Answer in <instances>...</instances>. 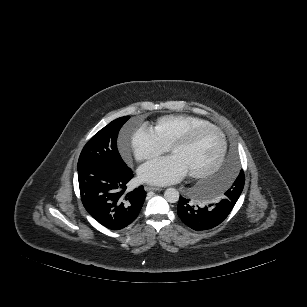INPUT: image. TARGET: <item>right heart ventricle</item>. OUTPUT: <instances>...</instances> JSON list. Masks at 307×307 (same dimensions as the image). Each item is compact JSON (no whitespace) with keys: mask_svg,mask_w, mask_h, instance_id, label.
<instances>
[{"mask_svg":"<svg viewBox=\"0 0 307 307\" xmlns=\"http://www.w3.org/2000/svg\"><path fill=\"white\" fill-rule=\"evenodd\" d=\"M208 123L209 121L194 115H166L156 121L154 132L162 143L169 146L176 138L192 127Z\"/></svg>","mask_w":307,"mask_h":307,"instance_id":"1","label":"right heart ventricle"}]
</instances>
